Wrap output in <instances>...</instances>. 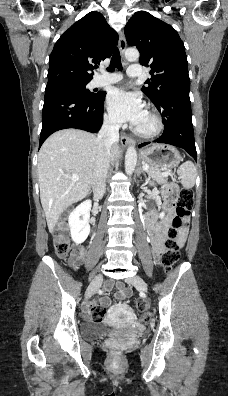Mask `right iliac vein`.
<instances>
[{
    "instance_id": "right-iliac-vein-1",
    "label": "right iliac vein",
    "mask_w": 228,
    "mask_h": 396,
    "mask_svg": "<svg viewBox=\"0 0 228 396\" xmlns=\"http://www.w3.org/2000/svg\"><path fill=\"white\" fill-rule=\"evenodd\" d=\"M102 281H103V276L101 274L97 275L93 279V281L90 283V285L86 291V294H85L86 299L90 298L95 293V291L100 287Z\"/></svg>"
}]
</instances>
